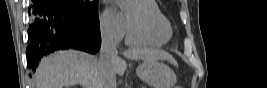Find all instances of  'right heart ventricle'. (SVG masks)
Wrapping results in <instances>:
<instances>
[{
	"mask_svg": "<svg viewBox=\"0 0 267 88\" xmlns=\"http://www.w3.org/2000/svg\"><path fill=\"white\" fill-rule=\"evenodd\" d=\"M133 3L141 5L145 10L150 12L151 14L157 16L163 27L167 30L170 29V23L164 13L161 11L160 7L158 6L157 2L154 0H135ZM126 36L127 42L130 45H142V46H161L168 41L166 36L159 37V38H151V37H144L132 33L129 28L126 29Z\"/></svg>",
	"mask_w": 267,
	"mask_h": 88,
	"instance_id": "right-heart-ventricle-1",
	"label": "right heart ventricle"
}]
</instances>
